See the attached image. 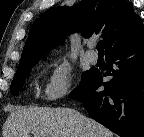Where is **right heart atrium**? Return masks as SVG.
Masks as SVG:
<instances>
[{
	"label": "right heart atrium",
	"mask_w": 144,
	"mask_h": 137,
	"mask_svg": "<svg viewBox=\"0 0 144 137\" xmlns=\"http://www.w3.org/2000/svg\"><path fill=\"white\" fill-rule=\"evenodd\" d=\"M72 78V67L66 60L55 63L44 87L45 99L56 101L68 95L71 90Z\"/></svg>",
	"instance_id": "right-heart-atrium-1"
}]
</instances>
